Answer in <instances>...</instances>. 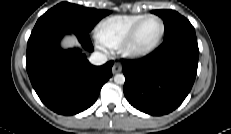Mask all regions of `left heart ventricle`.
<instances>
[{
	"label": "left heart ventricle",
	"mask_w": 231,
	"mask_h": 134,
	"mask_svg": "<svg viewBox=\"0 0 231 134\" xmlns=\"http://www.w3.org/2000/svg\"><path fill=\"white\" fill-rule=\"evenodd\" d=\"M161 28V23L156 18H150L145 21L136 37L135 48L145 49L153 45L160 36Z\"/></svg>",
	"instance_id": "obj_1"
}]
</instances>
